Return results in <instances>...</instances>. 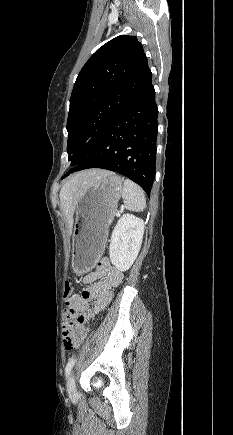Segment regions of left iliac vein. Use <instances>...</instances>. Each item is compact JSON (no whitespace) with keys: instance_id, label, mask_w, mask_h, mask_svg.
I'll use <instances>...</instances> for the list:
<instances>
[{"instance_id":"4c4485c4","label":"left iliac vein","mask_w":233,"mask_h":435,"mask_svg":"<svg viewBox=\"0 0 233 435\" xmlns=\"http://www.w3.org/2000/svg\"><path fill=\"white\" fill-rule=\"evenodd\" d=\"M67 391L70 396H74L76 393V385L74 375L70 374L67 380Z\"/></svg>"}]
</instances>
